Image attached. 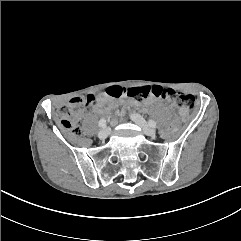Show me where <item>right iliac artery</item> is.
I'll return each instance as SVG.
<instances>
[{
    "label": "right iliac artery",
    "mask_w": 241,
    "mask_h": 241,
    "mask_svg": "<svg viewBox=\"0 0 241 241\" xmlns=\"http://www.w3.org/2000/svg\"><path fill=\"white\" fill-rule=\"evenodd\" d=\"M98 125H99V127H105L106 126V120L104 118L100 119Z\"/></svg>",
    "instance_id": "82829eb1"
}]
</instances>
